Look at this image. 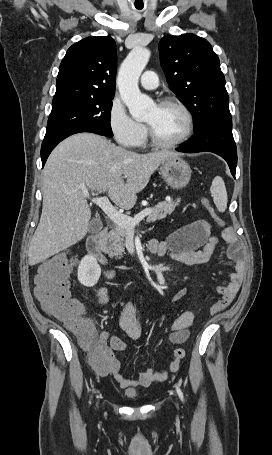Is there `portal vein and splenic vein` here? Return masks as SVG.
<instances>
[{
	"mask_svg": "<svg viewBox=\"0 0 272 455\" xmlns=\"http://www.w3.org/2000/svg\"><path fill=\"white\" fill-rule=\"evenodd\" d=\"M84 196L99 206L115 224L126 229H134L140 221L151 213V209L147 208L137 214L134 218H131L118 212L106 196L90 198L89 192L87 191L84 192Z\"/></svg>",
	"mask_w": 272,
	"mask_h": 455,
	"instance_id": "portal-vein-and-splenic-vein-1",
	"label": "portal vein and splenic vein"
}]
</instances>
